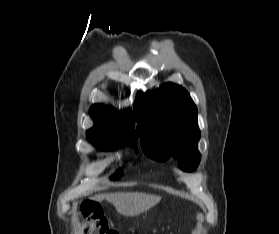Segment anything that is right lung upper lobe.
I'll list each match as a JSON object with an SVG mask.
<instances>
[{
    "instance_id": "cb5924a9",
    "label": "right lung upper lobe",
    "mask_w": 279,
    "mask_h": 234,
    "mask_svg": "<svg viewBox=\"0 0 279 234\" xmlns=\"http://www.w3.org/2000/svg\"><path fill=\"white\" fill-rule=\"evenodd\" d=\"M91 115L95 122L94 127L87 131V137L91 142L123 145L130 142V139H137V133L133 130L134 120L131 109L124 111L121 116L110 107L93 105Z\"/></svg>"
}]
</instances>
